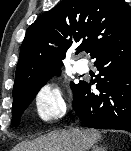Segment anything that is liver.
Here are the masks:
<instances>
[{"label": "liver", "mask_w": 131, "mask_h": 151, "mask_svg": "<svg viewBox=\"0 0 131 151\" xmlns=\"http://www.w3.org/2000/svg\"><path fill=\"white\" fill-rule=\"evenodd\" d=\"M79 131V135L73 134L71 130L51 132L32 142H22L13 151H88L102 138L97 130Z\"/></svg>", "instance_id": "obj_1"}]
</instances>
